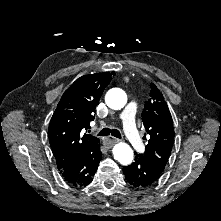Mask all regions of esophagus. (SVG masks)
Returning a JSON list of instances; mask_svg holds the SVG:
<instances>
[{
    "label": "esophagus",
    "mask_w": 221,
    "mask_h": 221,
    "mask_svg": "<svg viewBox=\"0 0 221 221\" xmlns=\"http://www.w3.org/2000/svg\"><path fill=\"white\" fill-rule=\"evenodd\" d=\"M105 139L106 140L104 141V145L106 147H112V145L118 141L116 138H113L111 136L106 137Z\"/></svg>",
    "instance_id": "obj_1"
}]
</instances>
